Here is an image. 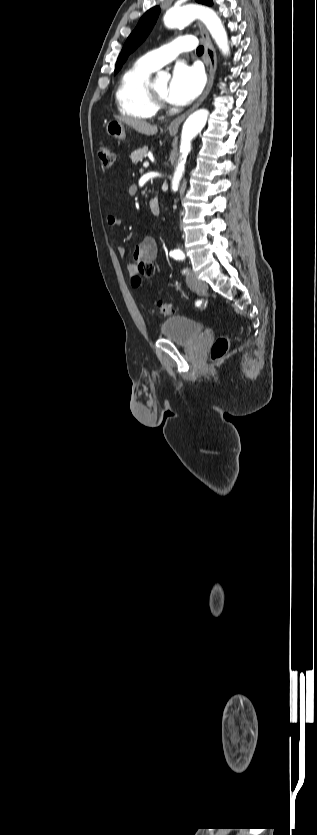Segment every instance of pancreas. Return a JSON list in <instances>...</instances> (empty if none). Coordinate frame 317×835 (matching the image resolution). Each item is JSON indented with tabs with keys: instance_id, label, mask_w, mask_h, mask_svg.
<instances>
[{
	"instance_id": "1",
	"label": "pancreas",
	"mask_w": 317,
	"mask_h": 835,
	"mask_svg": "<svg viewBox=\"0 0 317 835\" xmlns=\"http://www.w3.org/2000/svg\"><path fill=\"white\" fill-rule=\"evenodd\" d=\"M148 148L146 146L132 152L130 158L132 161L137 164L138 162H142L144 158L147 157Z\"/></svg>"
}]
</instances>
